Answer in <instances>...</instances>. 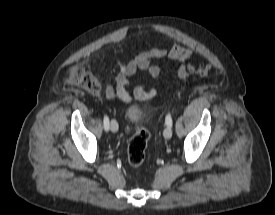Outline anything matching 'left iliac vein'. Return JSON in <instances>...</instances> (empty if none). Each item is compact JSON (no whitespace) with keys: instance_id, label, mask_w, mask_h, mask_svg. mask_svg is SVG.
Segmentation results:
<instances>
[{"instance_id":"left-iliac-vein-1","label":"left iliac vein","mask_w":275,"mask_h":215,"mask_svg":"<svg viewBox=\"0 0 275 215\" xmlns=\"http://www.w3.org/2000/svg\"><path fill=\"white\" fill-rule=\"evenodd\" d=\"M163 135L166 139H170L172 137V127L167 126L163 132Z\"/></svg>"}]
</instances>
